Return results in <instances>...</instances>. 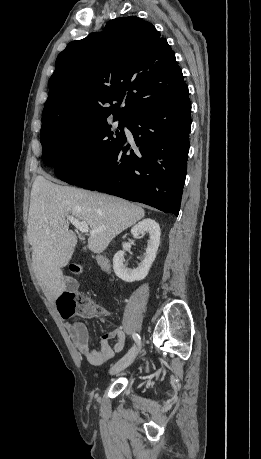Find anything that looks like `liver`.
<instances>
[{
  "label": "liver",
  "instance_id": "1",
  "mask_svg": "<svg viewBox=\"0 0 261 459\" xmlns=\"http://www.w3.org/2000/svg\"><path fill=\"white\" fill-rule=\"evenodd\" d=\"M70 214L90 227L88 249L102 253L117 235L141 220L145 211L122 198L61 186L47 175H38L31 190L27 234L35 276L52 300L66 290L61 269L68 265L77 245V236L66 220Z\"/></svg>",
  "mask_w": 261,
  "mask_h": 459
}]
</instances>
